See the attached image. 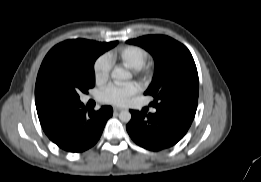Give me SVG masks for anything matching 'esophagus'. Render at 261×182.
<instances>
[{
  "instance_id": "esophagus-1",
  "label": "esophagus",
  "mask_w": 261,
  "mask_h": 182,
  "mask_svg": "<svg viewBox=\"0 0 261 182\" xmlns=\"http://www.w3.org/2000/svg\"><path fill=\"white\" fill-rule=\"evenodd\" d=\"M113 110H114V112H120V111H122L124 109L120 108V107H114Z\"/></svg>"
}]
</instances>
